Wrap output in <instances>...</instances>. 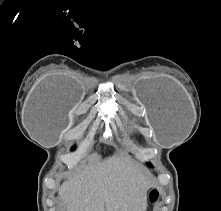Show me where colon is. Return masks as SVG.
I'll return each instance as SVG.
<instances>
[{
	"label": "colon",
	"mask_w": 221,
	"mask_h": 211,
	"mask_svg": "<svg viewBox=\"0 0 221 211\" xmlns=\"http://www.w3.org/2000/svg\"><path fill=\"white\" fill-rule=\"evenodd\" d=\"M159 197V192L158 190H153L150 194V200L152 203L156 202L158 200Z\"/></svg>",
	"instance_id": "5ec220e1"
}]
</instances>
